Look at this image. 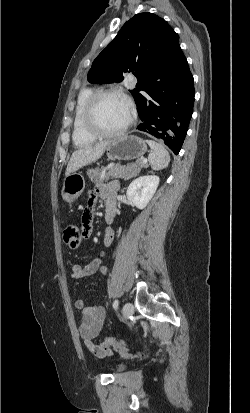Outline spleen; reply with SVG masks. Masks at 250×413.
<instances>
[{"mask_svg":"<svg viewBox=\"0 0 250 413\" xmlns=\"http://www.w3.org/2000/svg\"><path fill=\"white\" fill-rule=\"evenodd\" d=\"M147 144L151 148L148 155V161L153 170H162L166 168L170 162V155L162 144L152 140H147Z\"/></svg>","mask_w":250,"mask_h":413,"instance_id":"1","label":"spleen"}]
</instances>
